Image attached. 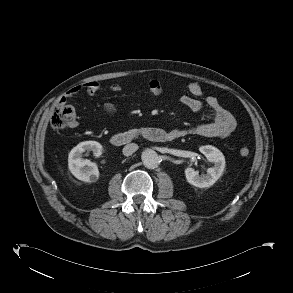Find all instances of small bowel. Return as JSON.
<instances>
[{
	"label": "small bowel",
	"mask_w": 293,
	"mask_h": 293,
	"mask_svg": "<svg viewBox=\"0 0 293 293\" xmlns=\"http://www.w3.org/2000/svg\"><path fill=\"white\" fill-rule=\"evenodd\" d=\"M111 92H120L121 86L112 83L107 86ZM102 90V85L98 81H90L82 85L75 86L66 92L60 102H66V99L72 98L81 92L89 95H95ZM149 93L152 96H158L163 92L162 84L157 80L150 81L148 85ZM189 94L180 98V103L193 112H202L205 109L213 113L214 120L210 123H203L191 126L189 128H179L169 131L173 139L183 137L188 134H197L205 137L225 138L229 136L236 128L237 122L232 113L225 109L221 103L213 96L206 97L205 102L199 100L203 91L198 83H191L188 87ZM104 109L108 114H114L116 108L112 103H106Z\"/></svg>",
	"instance_id": "c3829d8e"
}]
</instances>
